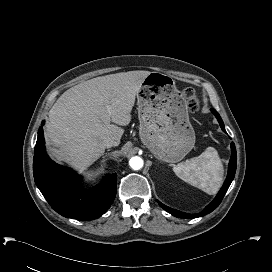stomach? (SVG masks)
<instances>
[{
	"label": "stomach",
	"mask_w": 272,
	"mask_h": 272,
	"mask_svg": "<svg viewBox=\"0 0 272 272\" xmlns=\"http://www.w3.org/2000/svg\"><path fill=\"white\" fill-rule=\"evenodd\" d=\"M137 104L142 143L158 160L181 161L195 145V131L175 80L151 72L137 92Z\"/></svg>",
	"instance_id": "0dacf381"
}]
</instances>
